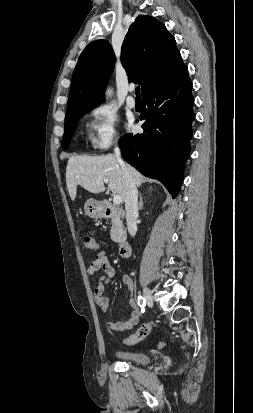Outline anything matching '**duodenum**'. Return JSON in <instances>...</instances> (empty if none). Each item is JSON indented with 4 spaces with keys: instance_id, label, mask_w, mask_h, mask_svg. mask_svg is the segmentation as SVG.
Segmentation results:
<instances>
[{
    "instance_id": "1",
    "label": "duodenum",
    "mask_w": 253,
    "mask_h": 413,
    "mask_svg": "<svg viewBox=\"0 0 253 413\" xmlns=\"http://www.w3.org/2000/svg\"><path fill=\"white\" fill-rule=\"evenodd\" d=\"M102 213L105 217L123 216L124 212L109 203L102 205ZM131 254V246L127 240H120L119 242V255L122 258H127Z\"/></svg>"
}]
</instances>
